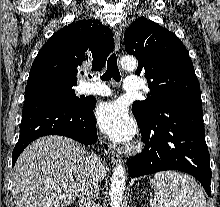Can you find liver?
<instances>
[{"label":"liver","instance_id":"obj_1","mask_svg":"<svg viewBox=\"0 0 220 207\" xmlns=\"http://www.w3.org/2000/svg\"><path fill=\"white\" fill-rule=\"evenodd\" d=\"M91 154L72 139L50 135L37 139L19 156L13 172L15 207H67L80 193ZM107 168L103 166L100 179Z\"/></svg>","mask_w":220,"mask_h":207}]
</instances>
